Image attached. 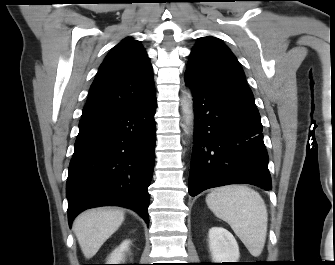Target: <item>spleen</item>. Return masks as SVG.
Instances as JSON below:
<instances>
[{"label":"spleen","instance_id":"1","mask_svg":"<svg viewBox=\"0 0 335 265\" xmlns=\"http://www.w3.org/2000/svg\"><path fill=\"white\" fill-rule=\"evenodd\" d=\"M210 210L227 222L252 256H259L267 234L268 213L261 195L246 185L213 189L206 196Z\"/></svg>","mask_w":335,"mask_h":265}]
</instances>
